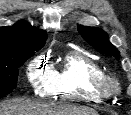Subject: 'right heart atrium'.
<instances>
[{
	"mask_svg": "<svg viewBox=\"0 0 131 115\" xmlns=\"http://www.w3.org/2000/svg\"><path fill=\"white\" fill-rule=\"evenodd\" d=\"M26 77L39 96H47L54 89L55 77L53 70L42 57H36L28 63Z\"/></svg>",
	"mask_w": 131,
	"mask_h": 115,
	"instance_id": "d8ad5b80",
	"label": "right heart atrium"
}]
</instances>
